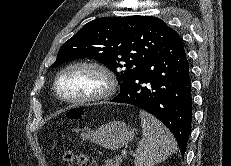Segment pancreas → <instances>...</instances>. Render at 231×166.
Wrapping results in <instances>:
<instances>
[{"label":"pancreas","mask_w":231,"mask_h":166,"mask_svg":"<svg viewBox=\"0 0 231 166\" xmlns=\"http://www.w3.org/2000/svg\"><path fill=\"white\" fill-rule=\"evenodd\" d=\"M119 157L116 156L115 160L112 159H108L105 161V165L104 166H119V163L122 162V158L118 159Z\"/></svg>","instance_id":"obj_1"}]
</instances>
